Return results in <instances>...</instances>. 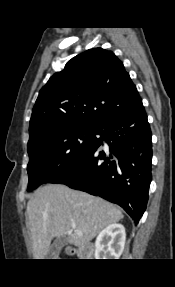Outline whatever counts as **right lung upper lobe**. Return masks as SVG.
I'll return each mask as SVG.
<instances>
[{
    "label": "right lung upper lobe",
    "instance_id": "1",
    "mask_svg": "<svg viewBox=\"0 0 175 287\" xmlns=\"http://www.w3.org/2000/svg\"><path fill=\"white\" fill-rule=\"evenodd\" d=\"M142 102L116 55L93 48L69 60L40 90L30 120L28 144L63 130L101 126Z\"/></svg>",
    "mask_w": 175,
    "mask_h": 287
}]
</instances>
